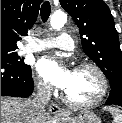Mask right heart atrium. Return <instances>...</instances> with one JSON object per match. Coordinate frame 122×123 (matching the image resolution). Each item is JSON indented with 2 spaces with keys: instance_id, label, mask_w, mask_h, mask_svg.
<instances>
[{
  "instance_id": "d8ad5b80",
  "label": "right heart atrium",
  "mask_w": 122,
  "mask_h": 123,
  "mask_svg": "<svg viewBox=\"0 0 122 123\" xmlns=\"http://www.w3.org/2000/svg\"><path fill=\"white\" fill-rule=\"evenodd\" d=\"M38 89L42 94H48L50 92L49 86L43 81L38 82Z\"/></svg>"
}]
</instances>
